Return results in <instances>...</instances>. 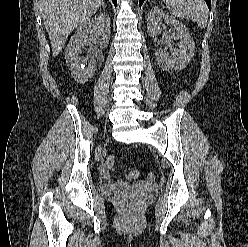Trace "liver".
Instances as JSON below:
<instances>
[{"label":"liver","mask_w":248,"mask_h":247,"mask_svg":"<svg viewBox=\"0 0 248 247\" xmlns=\"http://www.w3.org/2000/svg\"><path fill=\"white\" fill-rule=\"evenodd\" d=\"M103 0H41L42 18L48 32L53 57L70 33L97 12Z\"/></svg>","instance_id":"liver-1"}]
</instances>
